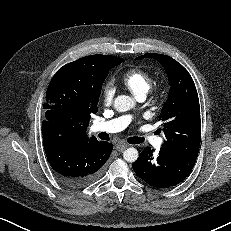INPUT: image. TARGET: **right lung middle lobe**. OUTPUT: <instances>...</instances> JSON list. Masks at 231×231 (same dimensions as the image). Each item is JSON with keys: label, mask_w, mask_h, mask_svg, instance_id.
Segmentation results:
<instances>
[{"label": "right lung middle lobe", "mask_w": 231, "mask_h": 231, "mask_svg": "<svg viewBox=\"0 0 231 231\" xmlns=\"http://www.w3.org/2000/svg\"><path fill=\"white\" fill-rule=\"evenodd\" d=\"M122 61V58L106 56L96 68L91 60L83 59L63 66L48 86L43 105L45 116L67 122L97 113L102 84L109 70Z\"/></svg>", "instance_id": "obj_1"}]
</instances>
